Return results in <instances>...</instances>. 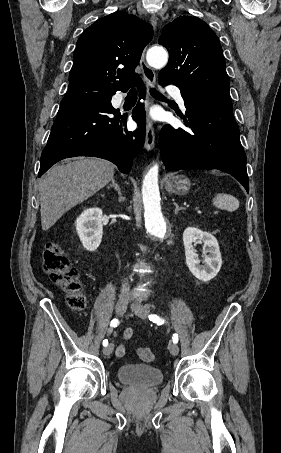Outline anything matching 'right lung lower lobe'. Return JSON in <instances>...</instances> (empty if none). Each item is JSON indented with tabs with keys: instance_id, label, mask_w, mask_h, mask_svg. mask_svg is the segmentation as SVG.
Segmentation results:
<instances>
[{
	"instance_id": "right-lung-lower-lobe-1",
	"label": "right lung lower lobe",
	"mask_w": 281,
	"mask_h": 453,
	"mask_svg": "<svg viewBox=\"0 0 281 453\" xmlns=\"http://www.w3.org/2000/svg\"><path fill=\"white\" fill-rule=\"evenodd\" d=\"M138 80L139 77L131 84ZM139 87L140 98L144 99L142 81H139ZM112 95H65L41 155L38 177L56 162L75 156H95L113 162L123 173L131 170L132 161L145 141L143 104L138 103L133 110L132 117L139 127L131 132L126 127L127 114L113 108Z\"/></svg>"
}]
</instances>
